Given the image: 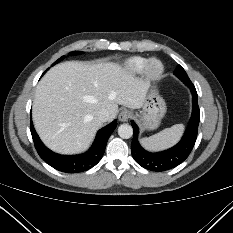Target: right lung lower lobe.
I'll return each mask as SVG.
<instances>
[{"label":"right lung lower lobe","instance_id":"obj_1","mask_svg":"<svg viewBox=\"0 0 233 233\" xmlns=\"http://www.w3.org/2000/svg\"><path fill=\"white\" fill-rule=\"evenodd\" d=\"M117 126V121L114 120L107 126L103 127L97 133L92 147L80 155H60L49 150L38 137L33 124L31 122L30 130L34 141L35 148L39 156L51 167L65 172V173H78L86 171L95 166L102 158L107 141Z\"/></svg>","mask_w":233,"mask_h":233}]
</instances>
